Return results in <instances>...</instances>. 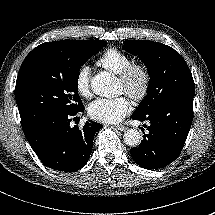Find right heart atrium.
I'll use <instances>...</instances> for the list:
<instances>
[{"instance_id":"right-heart-atrium-1","label":"right heart atrium","mask_w":215,"mask_h":215,"mask_svg":"<svg viewBox=\"0 0 215 215\" xmlns=\"http://www.w3.org/2000/svg\"><path fill=\"white\" fill-rule=\"evenodd\" d=\"M75 90L81 97L88 98L91 95L90 69L87 66L79 68L75 74Z\"/></svg>"}]
</instances>
